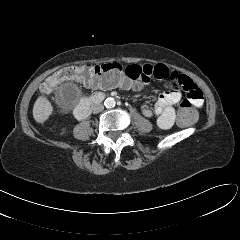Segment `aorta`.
<instances>
[{"label":"aorta","instance_id":"aorta-1","mask_svg":"<svg viewBox=\"0 0 240 240\" xmlns=\"http://www.w3.org/2000/svg\"><path fill=\"white\" fill-rule=\"evenodd\" d=\"M116 104L115 102V99L110 97V98H107L105 101H104V105L106 108H112L114 107Z\"/></svg>","mask_w":240,"mask_h":240}]
</instances>
